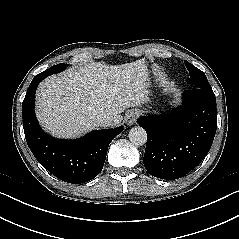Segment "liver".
Segmentation results:
<instances>
[{
    "mask_svg": "<svg viewBox=\"0 0 239 239\" xmlns=\"http://www.w3.org/2000/svg\"><path fill=\"white\" fill-rule=\"evenodd\" d=\"M148 69L143 60L122 65L90 62L45 79L36 93V115L52 135L75 138L99 127L106 115L116 126L126 109L148 96Z\"/></svg>",
    "mask_w": 239,
    "mask_h": 239,
    "instance_id": "obj_1",
    "label": "liver"
}]
</instances>
